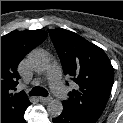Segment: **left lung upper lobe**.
Segmentation results:
<instances>
[{
  "mask_svg": "<svg viewBox=\"0 0 123 123\" xmlns=\"http://www.w3.org/2000/svg\"><path fill=\"white\" fill-rule=\"evenodd\" d=\"M50 37L61 60L64 74L77 84L63 107L95 123L102 114L114 81V70L105 52L78 34L50 29Z\"/></svg>",
  "mask_w": 123,
  "mask_h": 123,
  "instance_id": "left-lung-upper-lobe-1",
  "label": "left lung upper lobe"
}]
</instances>
